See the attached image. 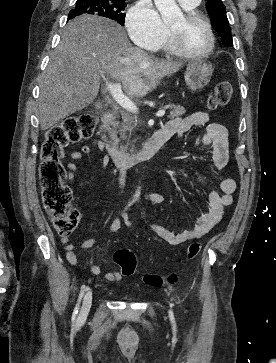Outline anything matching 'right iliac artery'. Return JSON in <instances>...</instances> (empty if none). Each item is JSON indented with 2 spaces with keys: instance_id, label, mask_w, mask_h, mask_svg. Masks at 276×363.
<instances>
[{
  "instance_id": "right-iliac-artery-1",
  "label": "right iliac artery",
  "mask_w": 276,
  "mask_h": 363,
  "mask_svg": "<svg viewBox=\"0 0 276 363\" xmlns=\"http://www.w3.org/2000/svg\"><path fill=\"white\" fill-rule=\"evenodd\" d=\"M131 203H129L128 206H130ZM88 290V286L87 285H82L81 286V290H80V293H79V297H78V300H77V304L74 308V311H73V314H72V321L74 322L76 320V316L78 314V311H79V307H80V302L82 300V297L84 295V293Z\"/></svg>"
}]
</instances>
